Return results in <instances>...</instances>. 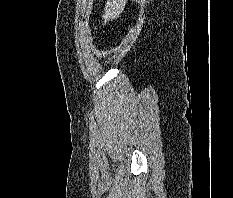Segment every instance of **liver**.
I'll return each instance as SVG.
<instances>
[{"label": "liver", "instance_id": "obj_1", "mask_svg": "<svg viewBox=\"0 0 233 198\" xmlns=\"http://www.w3.org/2000/svg\"><path fill=\"white\" fill-rule=\"evenodd\" d=\"M126 3L127 0H106L104 14L102 15L104 19L103 25L110 20L119 18L120 14L124 11Z\"/></svg>", "mask_w": 233, "mask_h": 198}]
</instances>
